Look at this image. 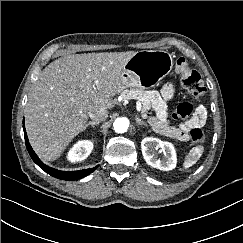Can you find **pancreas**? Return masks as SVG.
Instances as JSON below:
<instances>
[{"label":"pancreas","mask_w":243,"mask_h":243,"mask_svg":"<svg viewBox=\"0 0 243 243\" xmlns=\"http://www.w3.org/2000/svg\"><path fill=\"white\" fill-rule=\"evenodd\" d=\"M121 97L124 101L136 99L142 102V116L144 118H147V108L148 103L146 101V92L141 88H131V89H125L121 93Z\"/></svg>","instance_id":"obj_1"}]
</instances>
